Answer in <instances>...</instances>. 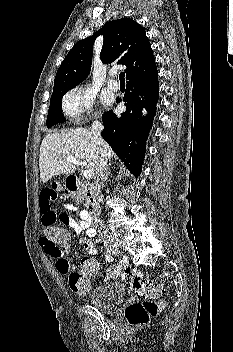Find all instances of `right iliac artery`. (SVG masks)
I'll use <instances>...</instances> for the list:
<instances>
[{"mask_svg":"<svg viewBox=\"0 0 233 352\" xmlns=\"http://www.w3.org/2000/svg\"><path fill=\"white\" fill-rule=\"evenodd\" d=\"M105 259H106V261L110 262L113 260V257L111 254H106Z\"/></svg>","mask_w":233,"mask_h":352,"instance_id":"1","label":"right iliac artery"}]
</instances>
